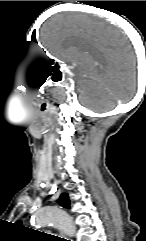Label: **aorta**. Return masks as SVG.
Segmentation results:
<instances>
[{"instance_id":"762f6f07","label":"aorta","mask_w":146,"mask_h":241,"mask_svg":"<svg viewBox=\"0 0 146 241\" xmlns=\"http://www.w3.org/2000/svg\"><path fill=\"white\" fill-rule=\"evenodd\" d=\"M32 224L35 227L52 224L69 237L74 236L76 232V227L70 215L63 209L55 206L42 207L36 211L32 218Z\"/></svg>"}]
</instances>
